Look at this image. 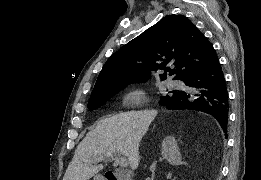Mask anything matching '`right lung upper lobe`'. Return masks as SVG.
Returning <instances> with one entry per match:
<instances>
[{"label":"right lung upper lobe","instance_id":"1","mask_svg":"<svg viewBox=\"0 0 261 180\" xmlns=\"http://www.w3.org/2000/svg\"><path fill=\"white\" fill-rule=\"evenodd\" d=\"M218 61L212 44L183 15H168L115 52L102 68L91 97L120 91L131 83L145 82L150 70L163 69L184 78ZM168 65H174L170 69Z\"/></svg>","mask_w":261,"mask_h":180}]
</instances>
